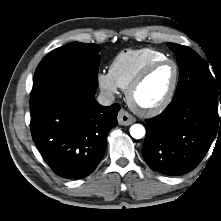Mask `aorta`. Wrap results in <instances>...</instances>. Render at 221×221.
Masks as SVG:
<instances>
[{
  "mask_svg": "<svg viewBox=\"0 0 221 221\" xmlns=\"http://www.w3.org/2000/svg\"><path fill=\"white\" fill-rule=\"evenodd\" d=\"M130 135L135 139H141L145 135V128L141 124H133L130 127Z\"/></svg>",
  "mask_w": 221,
  "mask_h": 221,
  "instance_id": "1",
  "label": "aorta"
}]
</instances>
